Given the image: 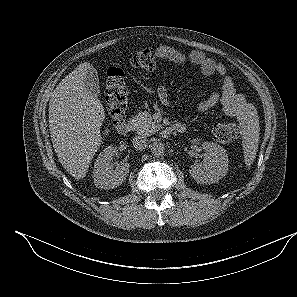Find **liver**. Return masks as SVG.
<instances>
[{"label":"liver","instance_id":"obj_1","mask_svg":"<svg viewBox=\"0 0 297 297\" xmlns=\"http://www.w3.org/2000/svg\"><path fill=\"white\" fill-rule=\"evenodd\" d=\"M92 65H78L58 84L49 101V129L54 151L63 168L75 179L86 176L91 160L102 143L105 119L100 100L84 86Z\"/></svg>","mask_w":297,"mask_h":297}]
</instances>
